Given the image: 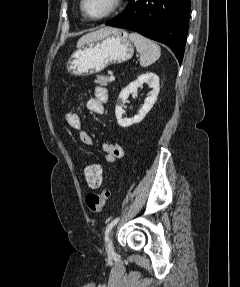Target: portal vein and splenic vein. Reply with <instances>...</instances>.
<instances>
[{"label": "portal vein and splenic vein", "instance_id": "obj_1", "mask_svg": "<svg viewBox=\"0 0 240 287\" xmlns=\"http://www.w3.org/2000/svg\"><path fill=\"white\" fill-rule=\"evenodd\" d=\"M114 79H115L114 76L111 74L110 80H114Z\"/></svg>", "mask_w": 240, "mask_h": 287}]
</instances>
